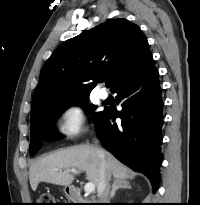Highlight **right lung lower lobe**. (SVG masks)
Masks as SVG:
<instances>
[{
    "mask_svg": "<svg viewBox=\"0 0 200 205\" xmlns=\"http://www.w3.org/2000/svg\"><path fill=\"white\" fill-rule=\"evenodd\" d=\"M112 93H117V101L123 109L105 108L98 118L96 132L100 142L121 162L144 173L155 192L161 165L163 102L153 59ZM117 117L121 124L115 122Z\"/></svg>",
    "mask_w": 200,
    "mask_h": 205,
    "instance_id": "obj_1",
    "label": "right lung lower lobe"
}]
</instances>
